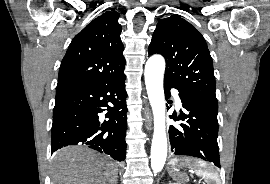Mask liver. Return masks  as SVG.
Segmentation results:
<instances>
[{
  "label": "liver",
  "instance_id": "1",
  "mask_svg": "<svg viewBox=\"0 0 270 184\" xmlns=\"http://www.w3.org/2000/svg\"><path fill=\"white\" fill-rule=\"evenodd\" d=\"M117 165L85 147H67L55 155L52 184H117Z\"/></svg>",
  "mask_w": 270,
  "mask_h": 184
}]
</instances>
